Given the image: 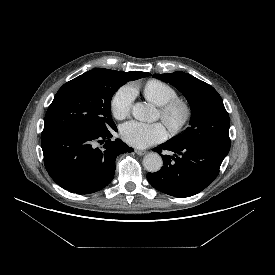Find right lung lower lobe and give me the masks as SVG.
Segmentation results:
<instances>
[{
	"label": "right lung lower lobe",
	"mask_w": 275,
	"mask_h": 275,
	"mask_svg": "<svg viewBox=\"0 0 275 275\" xmlns=\"http://www.w3.org/2000/svg\"><path fill=\"white\" fill-rule=\"evenodd\" d=\"M112 131L92 133L71 126L44 127L41 146L51 178L71 193L90 194L113 179L115 160L134 151L120 139L111 141ZM96 143H104L96 147Z\"/></svg>",
	"instance_id": "1"
}]
</instances>
